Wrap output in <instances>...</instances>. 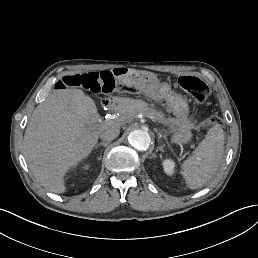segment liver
<instances>
[{
	"label": "liver",
	"mask_w": 258,
	"mask_h": 258,
	"mask_svg": "<svg viewBox=\"0 0 258 258\" xmlns=\"http://www.w3.org/2000/svg\"><path fill=\"white\" fill-rule=\"evenodd\" d=\"M94 101L81 89L56 90L33 111L24 134L23 153L36 181L64 193V175L86 158L99 131L84 124L98 119Z\"/></svg>",
	"instance_id": "6515ba94"
}]
</instances>
